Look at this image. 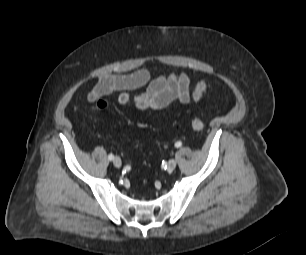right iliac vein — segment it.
Here are the masks:
<instances>
[{"mask_svg":"<svg viewBox=\"0 0 306 255\" xmlns=\"http://www.w3.org/2000/svg\"><path fill=\"white\" fill-rule=\"evenodd\" d=\"M113 164H114L115 167L120 168L121 165H122V161L119 157H115L113 159Z\"/></svg>","mask_w":306,"mask_h":255,"instance_id":"63e3f726","label":"right iliac vein"}]
</instances>
